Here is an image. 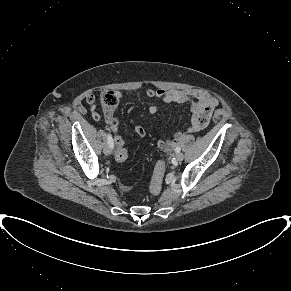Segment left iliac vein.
Segmentation results:
<instances>
[{
    "label": "left iliac vein",
    "mask_w": 291,
    "mask_h": 291,
    "mask_svg": "<svg viewBox=\"0 0 291 291\" xmlns=\"http://www.w3.org/2000/svg\"><path fill=\"white\" fill-rule=\"evenodd\" d=\"M175 158L177 161H182L184 159V154L183 153H176Z\"/></svg>",
    "instance_id": "obj_1"
}]
</instances>
